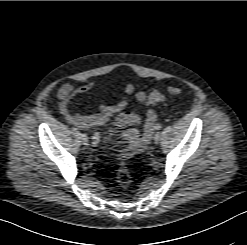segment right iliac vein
Returning <instances> with one entry per match:
<instances>
[{
	"label": "right iliac vein",
	"mask_w": 247,
	"mask_h": 245,
	"mask_svg": "<svg viewBox=\"0 0 247 245\" xmlns=\"http://www.w3.org/2000/svg\"><path fill=\"white\" fill-rule=\"evenodd\" d=\"M81 139L84 145L88 146V137L86 136V134H82L81 135Z\"/></svg>",
	"instance_id": "obj_1"
}]
</instances>
